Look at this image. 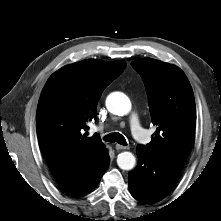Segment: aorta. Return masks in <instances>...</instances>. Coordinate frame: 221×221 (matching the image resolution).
Wrapping results in <instances>:
<instances>
[{
  "label": "aorta",
  "instance_id": "aorta-1",
  "mask_svg": "<svg viewBox=\"0 0 221 221\" xmlns=\"http://www.w3.org/2000/svg\"><path fill=\"white\" fill-rule=\"evenodd\" d=\"M106 107L112 114L124 116L131 110L130 99L121 92H113L106 99ZM136 163L135 156L131 152H122L117 157V164L122 170H131Z\"/></svg>",
  "mask_w": 221,
  "mask_h": 221
}]
</instances>
